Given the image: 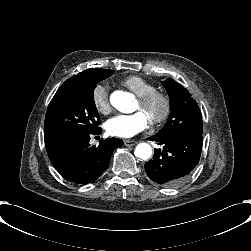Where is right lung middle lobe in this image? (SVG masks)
I'll use <instances>...</instances> for the list:
<instances>
[{
	"instance_id": "dd1d6c3e",
	"label": "right lung middle lobe",
	"mask_w": 251,
	"mask_h": 251,
	"mask_svg": "<svg viewBox=\"0 0 251 251\" xmlns=\"http://www.w3.org/2000/svg\"><path fill=\"white\" fill-rule=\"evenodd\" d=\"M114 70L91 68L65 81L52 98L45 117V144L77 134L100 130V117L94 103V89Z\"/></svg>"
}]
</instances>
